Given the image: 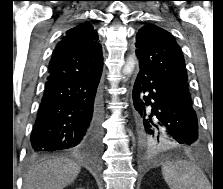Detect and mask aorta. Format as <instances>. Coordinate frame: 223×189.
Segmentation results:
<instances>
[{
  "label": "aorta",
  "instance_id": "obj_1",
  "mask_svg": "<svg viewBox=\"0 0 223 189\" xmlns=\"http://www.w3.org/2000/svg\"><path fill=\"white\" fill-rule=\"evenodd\" d=\"M135 64H136L135 58L133 56H130L123 67L122 73L124 75H130L135 68Z\"/></svg>",
  "mask_w": 223,
  "mask_h": 189
}]
</instances>
